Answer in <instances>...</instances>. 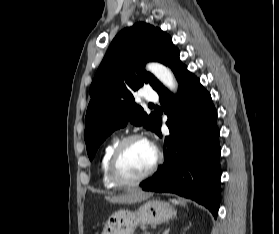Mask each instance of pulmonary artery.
I'll list each match as a JSON object with an SVG mask.
<instances>
[{"instance_id": "pulmonary-artery-1", "label": "pulmonary artery", "mask_w": 279, "mask_h": 234, "mask_svg": "<svg viewBox=\"0 0 279 234\" xmlns=\"http://www.w3.org/2000/svg\"><path fill=\"white\" fill-rule=\"evenodd\" d=\"M143 98L146 101H155V100H157L158 95L156 93H153V92L145 91L143 93Z\"/></svg>"}]
</instances>
